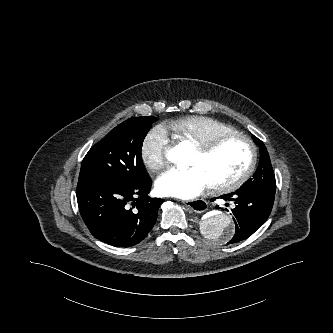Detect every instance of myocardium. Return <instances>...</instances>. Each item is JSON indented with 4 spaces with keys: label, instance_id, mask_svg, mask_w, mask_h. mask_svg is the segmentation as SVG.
Here are the masks:
<instances>
[{
    "label": "myocardium",
    "instance_id": "myocardium-1",
    "mask_svg": "<svg viewBox=\"0 0 333 333\" xmlns=\"http://www.w3.org/2000/svg\"><path fill=\"white\" fill-rule=\"evenodd\" d=\"M233 140L242 141L248 145L250 149V161L247 168L237 177L228 181L216 182L211 184V187L219 192L234 190L242 186L252 176L256 169L258 160V151L256 144L250 137L246 135L239 133H231L219 135L206 142L195 145L198 152L203 155H210L224 143Z\"/></svg>",
    "mask_w": 333,
    "mask_h": 333
}]
</instances>
